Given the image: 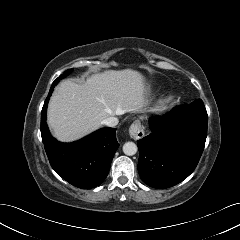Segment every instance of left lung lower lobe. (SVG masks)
Masks as SVG:
<instances>
[{"label": "left lung lower lobe", "mask_w": 240, "mask_h": 240, "mask_svg": "<svg viewBox=\"0 0 240 240\" xmlns=\"http://www.w3.org/2000/svg\"><path fill=\"white\" fill-rule=\"evenodd\" d=\"M208 115L201 99L150 119L151 133L137 141L138 172L154 188L172 187L196 168L207 136Z\"/></svg>", "instance_id": "left-lung-lower-lobe-1"}]
</instances>
